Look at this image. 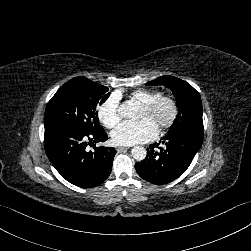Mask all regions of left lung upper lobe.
Returning <instances> with one entry per match:
<instances>
[{"label":"left lung upper lobe","mask_w":251,"mask_h":251,"mask_svg":"<svg viewBox=\"0 0 251 251\" xmlns=\"http://www.w3.org/2000/svg\"><path fill=\"white\" fill-rule=\"evenodd\" d=\"M148 85H164L176 97L178 115L166 135L176 132L204 133L200 94L189 83L172 76H161Z\"/></svg>","instance_id":"obj_1"}]
</instances>
